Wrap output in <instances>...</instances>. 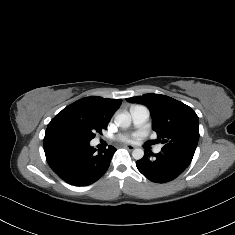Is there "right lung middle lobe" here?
<instances>
[{
	"mask_svg": "<svg viewBox=\"0 0 235 235\" xmlns=\"http://www.w3.org/2000/svg\"><path fill=\"white\" fill-rule=\"evenodd\" d=\"M106 128L107 125L93 117L69 118L60 125V130L63 133L86 142H90V140L95 137L96 133L102 134V130Z\"/></svg>",
	"mask_w": 235,
	"mask_h": 235,
	"instance_id": "obj_1",
	"label": "right lung middle lobe"
}]
</instances>
